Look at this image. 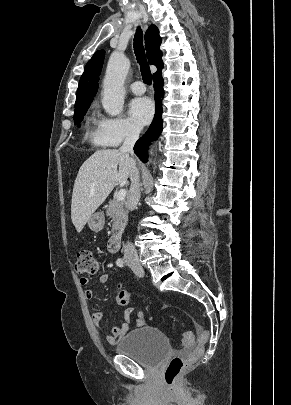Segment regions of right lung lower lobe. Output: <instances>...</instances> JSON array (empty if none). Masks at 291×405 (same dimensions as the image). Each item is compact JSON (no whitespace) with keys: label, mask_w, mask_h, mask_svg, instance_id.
<instances>
[{"label":"right lung lower lobe","mask_w":291,"mask_h":405,"mask_svg":"<svg viewBox=\"0 0 291 405\" xmlns=\"http://www.w3.org/2000/svg\"><path fill=\"white\" fill-rule=\"evenodd\" d=\"M154 88H155V103L156 110L153 122L151 123L149 129L135 144L134 152L143 161L146 162L148 159V145L151 141L156 140L162 131V98L164 95L163 91V78L161 73L153 76Z\"/></svg>","instance_id":"1"}]
</instances>
